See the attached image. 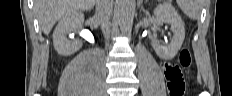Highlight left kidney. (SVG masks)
I'll return each mask as SVG.
<instances>
[{
  "label": "left kidney",
  "instance_id": "left-kidney-1",
  "mask_svg": "<svg viewBox=\"0 0 232 96\" xmlns=\"http://www.w3.org/2000/svg\"><path fill=\"white\" fill-rule=\"evenodd\" d=\"M154 15L156 17V28L163 23L170 24L173 36L168 45H163L158 40L157 34L154 33L151 36V45L161 59L170 60L176 56L185 39L184 22L175 8L167 3L158 5L154 9Z\"/></svg>",
  "mask_w": 232,
  "mask_h": 96
}]
</instances>
